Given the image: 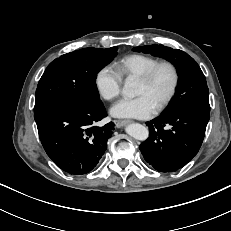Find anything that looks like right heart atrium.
Listing matches in <instances>:
<instances>
[{
	"label": "right heart atrium",
	"mask_w": 231,
	"mask_h": 231,
	"mask_svg": "<svg viewBox=\"0 0 231 231\" xmlns=\"http://www.w3.org/2000/svg\"><path fill=\"white\" fill-rule=\"evenodd\" d=\"M95 86L103 99L112 101L121 92L122 76L112 66L105 65L96 73Z\"/></svg>",
	"instance_id": "obj_1"
}]
</instances>
